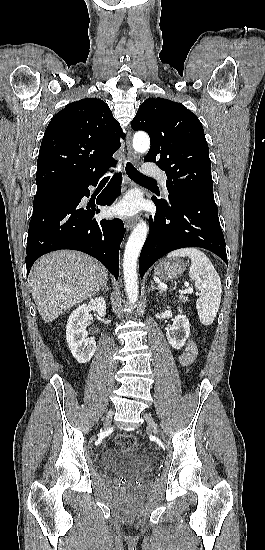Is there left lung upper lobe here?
I'll use <instances>...</instances> for the list:
<instances>
[{
	"instance_id": "left-lung-upper-lobe-1",
	"label": "left lung upper lobe",
	"mask_w": 265,
	"mask_h": 550,
	"mask_svg": "<svg viewBox=\"0 0 265 550\" xmlns=\"http://www.w3.org/2000/svg\"><path fill=\"white\" fill-rule=\"evenodd\" d=\"M131 126L149 134L151 147L144 161L154 162L166 172L170 202L192 201L218 211L208 144L195 114L180 103L148 98ZM159 201L167 204L163 199Z\"/></svg>"
}]
</instances>
